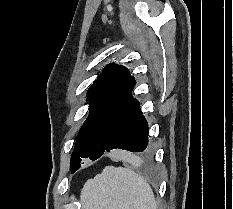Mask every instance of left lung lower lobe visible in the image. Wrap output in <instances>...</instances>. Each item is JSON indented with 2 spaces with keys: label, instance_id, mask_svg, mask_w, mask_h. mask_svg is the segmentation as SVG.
<instances>
[{
  "label": "left lung lower lobe",
  "instance_id": "left-lung-lower-lobe-1",
  "mask_svg": "<svg viewBox=\"0 0 233 209\" xmlns=\"http://www.w3.org/2000/svg\"><path fill=\"white\" fill-rule=\"evenodd\" d=\"M148 144V123L143 116L139 102L135 100L133 106L115 127L107 143L105 152L122 149L130 152H143ZM96 160L98 158H89ZM81 163L72 171L75 173Z\"/></svg>",
  "mask_w": 233,
  "mask_h": 209
}]
</instances>
